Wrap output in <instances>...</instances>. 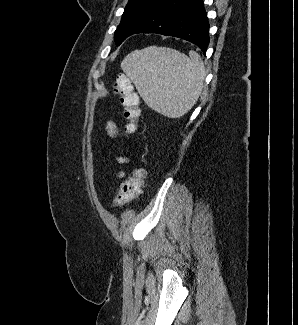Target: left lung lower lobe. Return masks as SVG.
Here are the masks:
<instances>
[{
  "mask_svg": "<svg viewBox=\"0 0 298 325\" xmlns=\"http://www.w3.org/2000/svg\"><path fill=\"white\" fill-rule=\"evenodd\" d=\"M209 23L203 0H162L130 32L158 33L196 44L204 53L209 44Z\"/></svg>",
  "mask_w": 298,
  "mask_h": 325,
  "instance_id": "1",
  "label": "left lung lower lobe"
}]
</instances>
